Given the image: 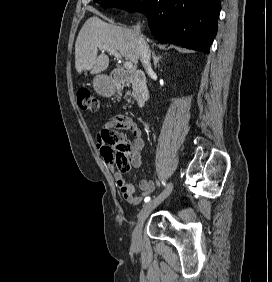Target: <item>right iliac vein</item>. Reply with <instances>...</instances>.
I'll use <instances>...</instances> for the list:
<instances>
[{
	"label": "right iliac vein",
	"mask_w": 272,
	"mask_h": 282,
	"mask_svg": "<svg viewBox=\"0 0 272 282\" xmlns=\"http://www.w3.org/2000/svg\"><path fill=\"white\" fill-rule=\"evenodd\" d=\"M172 183H170L167 187V189L161 193L158 197L153 199L152 201L146 203L142 210L140 211L137 219V224L134 228L133 234H132V241L135 246L139 245L141 241V233H142V227L144 224V221L148 217V215L152 212L154 208H156L162 201H164L165 198L169 196V194L172 191Z\"/></svg>",
	"instance_id": "1"
}]
</instances>
